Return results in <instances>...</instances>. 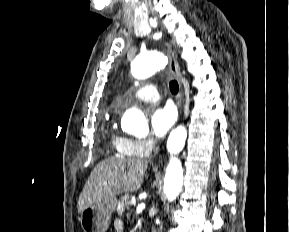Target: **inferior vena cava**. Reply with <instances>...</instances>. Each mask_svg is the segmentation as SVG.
Instances as JSON below:
<instances>
[{
    "mask_svg": "<svg viewBox=\"0 0 289 232\" xmlns=\"http://www.w3.org/2000/svg\"><path fill=\"white\" fill-rule=\"evenodd\" d=\"M152 232H156V229H155V227H152Z\"/></svg>",
    "mask_w": 289,
    "mask_h": 232,
    "instance_id": "inferior-vena-cava-1",
    "label": "inferior vena cava"
}]
</instances>
